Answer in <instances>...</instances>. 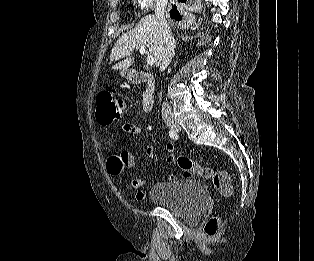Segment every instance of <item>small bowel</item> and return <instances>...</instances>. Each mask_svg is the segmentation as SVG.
Instances as JSON below:
<instances>
[{
  "label": "small bowel",
  "instance_id": "small-bowel-1",
  "mask_svg": "<svg viewBox=\"0 0 314 261\" xmlns=\"http://www.w3.org/2000/svg\"><path fill=\"white\" fill-rule=\"evenodd\" d=\"M122 131L124 133H128V134H140L142 133V130L134 125V124H125L122 128ZM165 151L167 153V161H169V158H174V146L172 144H167L165 147ZM145 154L148 158L153 159L154 155H155V149L154 146L152 144H148L145 148ZM128 156V164L130 166L134 165V158L131 154H127ZM171 163V162H170ZM147 182L146 178H134L131 180L130 182V186L133 189H140L141 187H143ZM146 194L144 191L138 190L136 192V199L137 200H143L145 198Z\"/></svg>",
  "mask_w": 314,
  "mask_h": 261
}]
</instances>
